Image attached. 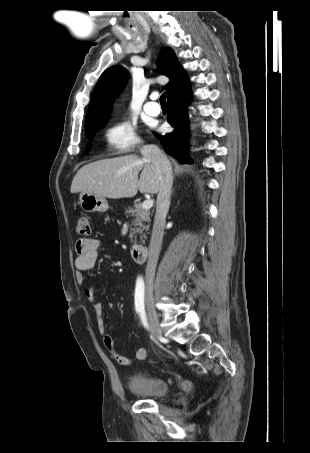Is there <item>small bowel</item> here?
<instances>
[{"instance_id":"1","label":"small bowel","mask_w":310,"mask_h":453,"mask_svg":"<svg viewBox=\"0 0 310 453\" xmlns=\"http://www.w3.org/2000/svg\"><path fill=\"white\" fill-rule=\"evenodd\" d=\"M100 242L97 239L84 237L76 241L75 244V260L76 280L79 284L84 282V272L94 268L100 252ZM96 285L88 286L84 289L86 298L92 304L94 312L97 315V327L102 335L103 344L109 354L122 366L131 364L130 358L121 354L114 344L113 338L106 332V325L103 318V307L95 297ZM147 351L145 348H138L135 357L137 360H145Z\"/></svg>"}]
</instances>
